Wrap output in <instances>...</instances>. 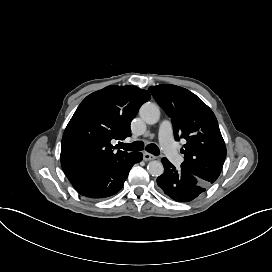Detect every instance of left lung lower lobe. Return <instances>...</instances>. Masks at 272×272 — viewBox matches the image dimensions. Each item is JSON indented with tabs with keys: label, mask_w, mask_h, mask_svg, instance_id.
<instances>
[{
	"label": "left lung lower lobe",
	"mask_w": 272,
	"mask_h": 272,
	"mask_svg": "<svg viewBox=\"0 0 272 272\" xmlns=\"http://www.w3.org/2000/svg\"><path fill=\"white\" fill-rule=\"evenodd\" d=\"M164 173L157 178L158 186L171 199L177 202H190L203 194L210 184L181 169L180 171L162 158Z\"/></svg>",
	"instance_id": "0a47b994"
}]
</instances>
